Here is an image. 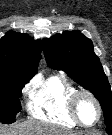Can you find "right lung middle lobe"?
<instances>
[{"label": "right lung middle lobe", "mask_w": 112, "mask_h": 135, "mask_svg": "<svg viewBox=\"0 0 112 135\" xmlns=\"http://www.w3.org/2000/svg\"><path fill=\"white\" fill-rule=\"evenodd\" d=\"M31 78L22 74H11L0 77V121L5 124L15 122L21 111L19 97L22 88Z\"/></svg>", "instance_id": "dd1d6c3e"}]
</instances>
